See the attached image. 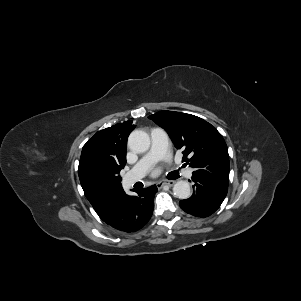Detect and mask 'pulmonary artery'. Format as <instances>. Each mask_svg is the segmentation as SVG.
Wrapping results in <instances>:
<instances>
[{
  "mask_svg": "<svg viewBox=\"0 0 301 301\" xmlns=\"http://www.w3.org/2000/svg\"><path fill=\"white\" fill-rule=\"evenodd\" d=\"M150 150L141 158L134 168L124 176V186L129 187L144 177L151 166L157 161L165 158L168 153V135L161 128L151 130ZM187 177L192 176V170L184 172Z\"/></svg>",
  "mask_w": 301,
  "mask_h": 301,
  "instance_id": "obj_1",
  "label": "pulmonary artery"
}]
</instances>
